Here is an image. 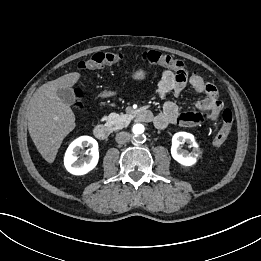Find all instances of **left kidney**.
Returning a JSON list of instances; mask_svg holds the SVG:
<instances>
[{"mask_svg": "<svg viewBox=\"0 0 261 261\" xmlns=\"http://www.w3.org/2000/svg\"><path fill=\"white\" fill-rule=\"evenodd\" d=\"M186 142L193 147L191 153L183 151L180 148V143ZM200 154L198 144L192 134L187 132H178L174 134L172 138L171 155L178 163L184 166H191L197 162V158Z\"/></svg>", "mask_w": 261, "mask_h": 261, "instance_id": "left-kidney-1", "label": "left kidney"}]
</instances>
